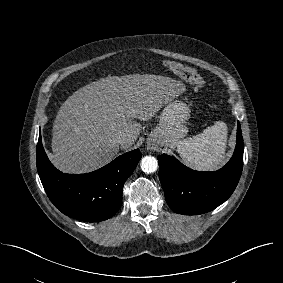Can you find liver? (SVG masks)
<instances>
[{"instance_id": "obj_1", "label": "liver", "mask_w": 283, "mask_h": 283, "mask_svg": "<svg viewBox=\"0 0 283 283\" xmlns=\"http://www.w3.org/2000/svg\"><path fill=\"white\" fill-rule=\"evenodd\" d=\"M185 91L169 77L152 74L107 76L73 93L54 124L52 163L65 173L96 170L137 140L141 124ZM127 141L120 145L118 136Z\"/></svg>"}]
</instances>
